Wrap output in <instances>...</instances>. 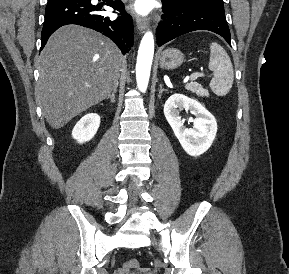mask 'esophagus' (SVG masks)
Instances as JSON below:
<instances>
[{"mask_svg":"<svg viewBox=\"0 0 289 274\" xmlns=\"http://www.w3.org/2000/svg\"><path fill=\"white\" fill-rule=\"evenodd\" d=\"M136 26L139 31H144L148 27V19L136 16Z\"/></svg>","mask_w":289,"mask_h":274,"instance_id":"esophagus-1","label":"esophagus"}]
</instances>
